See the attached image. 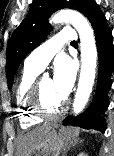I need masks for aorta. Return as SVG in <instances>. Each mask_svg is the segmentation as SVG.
I'll return each instance as SVG.
<instances>
[{
	"instance_id": "obj_1",
	"label": "aorta",
	"mask_w": 114,
	"mask_h": 156,
	"mask_svg": "<svg viewBox=\"0 0 114 156\" xmlns=\"http://www.w3.org/2000/svg\"><path fill=\"white\" fill-rule=\"evenodd\" d=\"M51 23L69 22L77 30L81 47V72L73 103V112L79 114L88 102L95 79L97 49L93 30L88 20L79 12L66 9L55 14Z\"/></svg>"
}]
</instances>
